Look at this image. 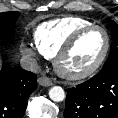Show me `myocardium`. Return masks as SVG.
<instances>
[{"label": "myocardium", "instance_id": "obj_1", "mask_svg": "<svg viewBox=\"0 0 118 118\" xmlns=\"http://www.w3.org/2000/svg\"><path fill=\"white\" fill-rule=\"evenodd\" d=\"M95 29L102 31V33L105 36V48L100 58L91 67L85 70L78 71V72H71V71L66 70L62 65L64 58L70 53V51L74 48L76 43L80 40V38L84 34ZM110 47H111V38L108 31L104 27L100 25H96V24H91V25L82 27L78 29L76 32H74L58 50V52L54 56V61H53L54 69L56 73L64 79H67V80L84 79L94 74L104 64L109 54Z\"/></svg>", "mask_w": 118, "mask_h": 118}]
</instances>
